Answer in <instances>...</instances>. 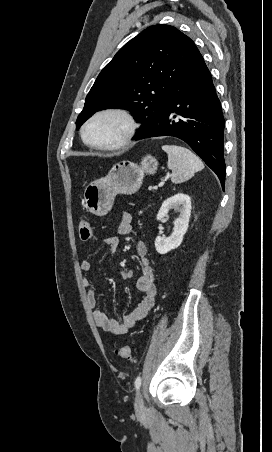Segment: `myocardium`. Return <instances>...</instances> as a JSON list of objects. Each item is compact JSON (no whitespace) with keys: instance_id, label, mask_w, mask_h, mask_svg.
Wrapping results in <instances>:
<instances>
[{"instance_id":"myocardium-1","label":"myocardium","mask_w":272,"mask_h":452,"mask_svg":"<svg viewBox=\"0 0 272 452\" xmlns=\"http://www.w3.org/2000/svg\"><path fill=\"white\" fill-rule=\"evenodd\" d=\"M105 116H115L120 118L124 122V132L121 135V137L113 142V143H93L90 142L86 138V131L88 127L93 123L95 120L101 117ZM137 129V123L134 119V117L125 109L122 108H104L101 110L96 111L93 113L83 124L81 128V137L84 143L92 148L99 149V150H119L123 147H125L131 139L134 137Z\"/></svg>"}]
</instances>
